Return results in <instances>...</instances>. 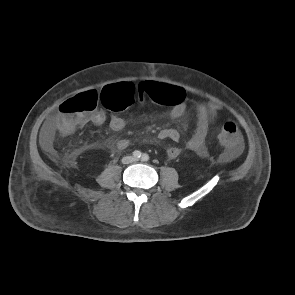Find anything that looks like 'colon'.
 Returning <instances> with one entry per match:
<instances>
[{
    "mask_svg": "<svg viewBox=\"0 0 295 295\" xmlns=\"http://www.w3.org/2000/svg\"><path fill=\"white\" fill-rule=\"evenodd\" d=\"M177 94L176 88L165 84L145 82L135 86L129 82H119L106 86L100 94V101L110 111H123L136 98L172 105ZM98 100L97 93L88 91L61 103L56 120L58 132L62 135L73 133L95 110ZM239 138L238 128L233 122L224 123L218 133V142L227 149L236 147Z\"/></svg>",
    "mask_w": 295,
    "mask_h": 295,
    "instance_id": "obj_1",
    "label": "colon"
}]
</instances>
